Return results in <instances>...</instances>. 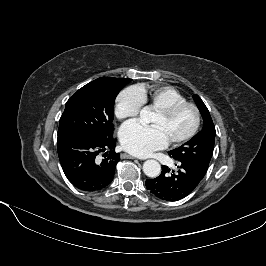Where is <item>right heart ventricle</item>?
Wrapping results in <instances>:
<instances>
[{
  "label": "right heart ventricle",
  "instance_id": "right-heart-ventricle-1",
  "mask_svg": "<svg viewBox=\"0 0 266 266\" xmlns=\"http://www.w3.org/2000/svg\"><path fill=\"white\" fill-rule=\"evenodd\" d=\"M144 103L155 109H163L174 104L186 102V98L171 86L140 87Z\"/></svg>",
  "mask_w": 266,
  "mask_h": 266
}]
</instances>
